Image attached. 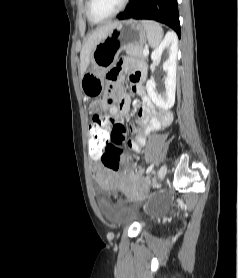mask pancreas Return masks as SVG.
Returning <instances> with one entry per match:
<instances>
[{
  "label": "pancreas",
  "mask_w": 238,
  "mask_h": 278,
  "mask_svg": "<svg viewBox=\"0 0 238 278\" xmlns=\"http://www.w3.org/2000/svg\"><path fill=\"white\" fill-rule=\"evenodd\" d=\"M125 50H126V54L129 56L137 57L140 59L147 58V56H145L143 54V50H144L143 46L130 45V46L126 47Z\"/></svg>",
  "instance_id": "cf45deb5"
}]
</instances>
